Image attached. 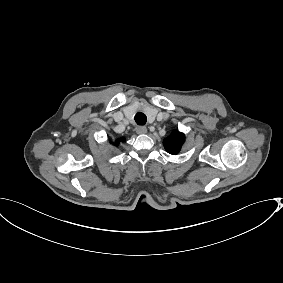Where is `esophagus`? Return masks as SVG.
Listing matches in <instances>:
<instances>
[{
	"mask_svg": "<svg viewBox=\"0 0 283 283\" xmlns=\"http://www.w3.org/2000/svg\"><path fill=\"white\" fill-rule=\"evenodd\" d=\"M136 132L137 134H145L147 132V129L144 126H140L137 128Z\"/></svg>",
	"mask_w": 283,
	"mask_h": 283,
	"instance_id": "esophagus-1",
	"label": "esophagus"
}]
</instances>
